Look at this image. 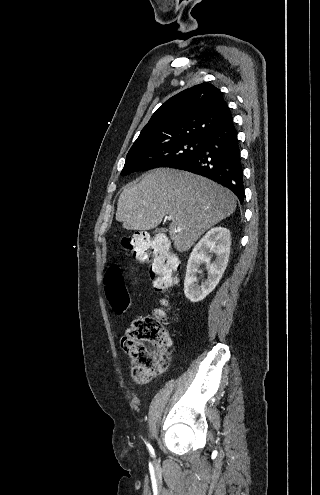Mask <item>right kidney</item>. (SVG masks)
Returning <instances> with one entry per match:
<instances>
[{
    "label": "right kidney",
    "mask_w": 320,
    "mask_h": 495,
    "mask_svg": "<svg viewBox=\"0 0 320 495\" xmlns=\"http://www.w3.org/2000/svg\"><path fill=\"white\" fill-rule=\"evenodd\" d=\"M230 246V231L223 227L211 229L195 245L188 259L184 281V293L191 302L203 300L218 285L228 264ZM209 253L216 255L213 262ZM203 263L206 264L208 277L199 285L196 275Z\"/></svg>",
    "instance_id": "obj_1"
}]
</instances>
